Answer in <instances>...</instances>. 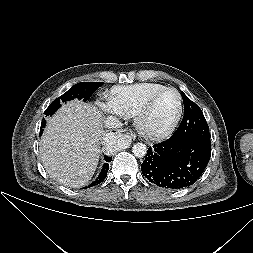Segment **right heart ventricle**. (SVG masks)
<instances>
[{
	"label": "right heart ventricle",
	"mask_w": 253,
	"mask_h": 253,
	"mask_svg": "<svg viewBox=\"0 0 253 253\" xmlns=\"http://www.w3.org/2000/svg\"><path fill=\"white\" fill-rule=\"evenodd\" d=\"M164 87L159 83L148 82L117 86L111 90L110 103L118 114L132 118L149 95Z\"/></svg>",
	"instance_id": "right-heart-ventricle-1"
}]
</instances>
